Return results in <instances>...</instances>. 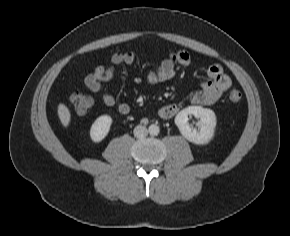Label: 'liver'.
Listing matches in <instances>:
<instances>
[{"label":"liver","mask_w":290,"mask_h":236,"mask_svg":"<svg viewBox=\"0 0 290 236\" xmlns=\"http://www.w3.org/2000/svg\"><path fill=\"white\" fill-rule=\"evenodd\" d=\"M58 116L64 127H67L71 120V114L67 106L63 103L58 105Z\"/></svg>","instance_id":"1"}]
</instances>
